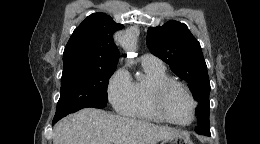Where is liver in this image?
Instances as JSON below:
<instances>
[{"instance_id": "obj_1", "label": "liver", "mask_w": 260, "mask_h": 144, "mask_svg": "<svg viewBox=\"0 0 260 144\" xmlns=\"http://www.w3.org/2000/svg\"><path fill=\"white\" fill-rule=\"evenodd\" d=\"M179 134L170 127L85 108L56 124L53 144H157Z\"/></svg>"}]
</instances>
